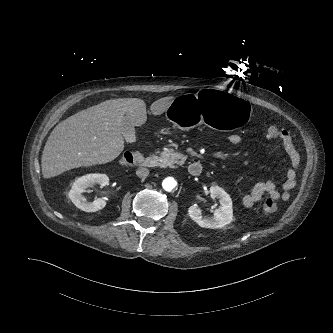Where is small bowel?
<instances>
[{"instance_id": "small-bowel-1", "label": "small bowel", "mask_w": 333, "mask_h": 333, "mask_svg": "<svg viewBox=\"0 0 333 333\" xmlns=\"http://www.w3.org/2000/svg\"><path fill=\"white\" fill-rule=\"evenodd\" d=\"M270 127L276 130V134L269 136V138L277 139L280 142L290 167L286 170V179L282 183L281 189H278L271 181L256 183L251 192L242 199L243 205L247 208L254 206L265 195L272 197L276 201L287 200L290 196V191L296 184V169L300 163V155L294 146L293 138L285 128ZM228 140L230 144L238 145L241 142V136L233 133L229 135Z\"/></svg>"}]
</instances>
